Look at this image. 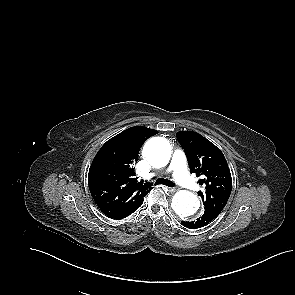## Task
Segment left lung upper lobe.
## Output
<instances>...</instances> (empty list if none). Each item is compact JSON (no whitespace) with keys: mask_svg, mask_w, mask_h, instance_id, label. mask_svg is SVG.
I'll return each instance as SVG.
<instances>
[{"mask_svg":"<svg viewBox=\"0 0 295 295\" xmlns=\"http://www.w3.org/2000/svg\"><path fill=\"white\" fill-rule=\"evenodd\" d=\"M177 139L186 153L190 172L202 176L198 182L204 191L198 195L204 208L223 210L232 190L231 173L223 153L196 132L180 131Z\"/></svg>","mask_w":295,"mask_h":295,"instance_id":"obj_1","label":"left lung upper lobe"}]
</instances>
